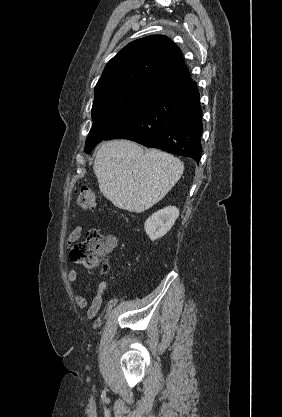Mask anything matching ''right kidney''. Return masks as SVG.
I'll return each mask as SVG.
<instances>
[{"mask_svg": "<svg viewBox=\"0 0 282 417\" xmlns=\"http://www.w3.org/2000/svg\"><path fill=\"white\" fill-rule=\"evenodd\" d=\"M179 217V209L177 206H164V209L153 213L147 221L144 223V229L146 235H148L151 241L161 239L164 237L171 227H173L176 219Z\"/></svg>", "mask_w": 282, "mask_h": 417, "instance_id": "1", "label": "right kidney"}]
</instances>
